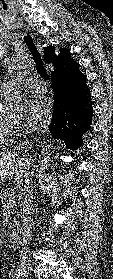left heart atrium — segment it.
Wrapping results in <instances>:
<instances>
[{"label":"left heart atrium","instance_id":"obj_1","mask_svg":"<svg viewBox=\"0 0 113 279\" xmlns=\"http://www.w3.org/2000/svg\"><path fill=\"white\" fill-rule=\"evenodd\" d=\"M51 117V106L44 97L35 98L28 109V123L36 129L42 128L48 124Z\"/></svg>","mask_w":113,"mask_h":279}]
</instances>
